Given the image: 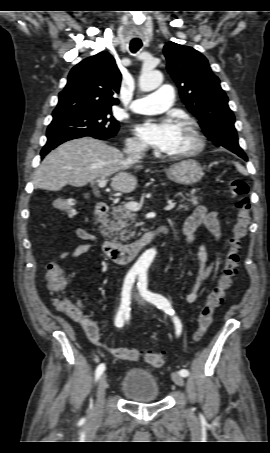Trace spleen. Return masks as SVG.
<instances>
[{"label": "spleen", "instance_id": "spleen-1", "mask_svg": "<svg viewBox=\"0 0 270 453\" xmlns=\"http://www.w3.org/2000/svg\"><path fill=\"white\" fill-rule=\"evenodd\" d=\"M234 165L240 173H243V174L245 173V168L243 166H241L239 163L234 162Z\"/></svg>", "mask_w": 270, "mask_h": 453}]
</instances>
